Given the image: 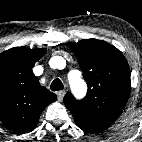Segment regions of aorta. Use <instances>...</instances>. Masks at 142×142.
<instances>
[{
    "label": "aorta",
    "mask_w": 142,
    "mask_h": 142,
    "mask_svg": "<svg viewBox=\"0 0 142 142\" xmlns=\"http://www.w3.org/2000/svg\"><path fill=\"white\" fill-rule=\"evenodd\" d=\"M69 79H70L72 88L76 92L83 94L86 91L85 82L80 77H73V75L70 74Z\"/></svg>",
    "instance_id": "aorta-1"
}]
</instances>
